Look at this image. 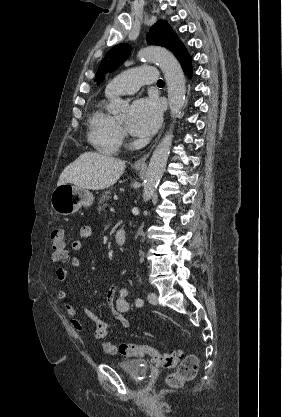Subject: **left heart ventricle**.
<instances>
[{"mask_svg":"<svg viewBox=\"0 0 282 417\" xmlns=\"http://www.w3.org/2000/svg\"><path fill=\"white\" fill-rule=\"evenodd\" d=\"M125 118H126V114L119 116V117H115L116 121L120 124L123 125V123L125 122Z\"/></svg>","mask_w":282,"mask_h":417,"instance_id":"b2bd125f","label":"left heart ventricle"}]
</instances>
